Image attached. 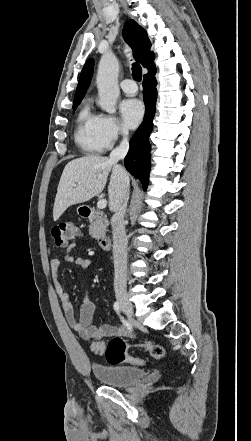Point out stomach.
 Segmentation results:
<instances>
[{
    "label": "stomach",
    "mask_w": 251,
    "mask_h": 441,
    "mask_svg": "<svg viewBox=\"0 0 251 441\" xmlns=\"http://www.w3.org/2000/svg\"><path fill=\"white\" fill-rule=\"evenodd\" d=\"M81 207H83V206H79V207L77 208V212H78V213H79V209H80Z\"/></svg>",
    "instance_id": "obj_1"
}]
</instances>
